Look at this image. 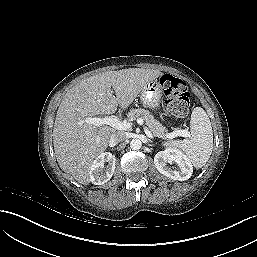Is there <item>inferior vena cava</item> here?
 <instances>
[{"instance_id":"602c4592","label":"inferior vena cava","mask_w":257,"mask_h":257,"mask_svg":"<svg viewBox=\"0 0 257 257\" xmlns=\"http://www.w3.org/2000/svg\"><path fill=\"white\" fill-rule=\"evenodd\" d=\"M126 139V135L123 132H115L110 136L109 144L111 146H114L118 144L119 142H122Z\"/></svg>"}]
</instances>
